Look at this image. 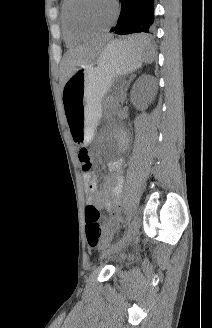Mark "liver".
<instances>
[{"label": "liver", "instance_id": "1", "mask_svg": "<svg viewBox=\"0 0 212 328\" xmlns=\"http://www.w3.org/2000/svg\"><path fill=\"white\" fill-rule=\"evenodd\" d=\"M103 44L104 43L90 44L69 49L65 53L63 59V83H65L79 67H91L101 54L100 51L103 48Z\"/></svg>", "mask_w": 212, "mask_h": 328}]
</instances>
